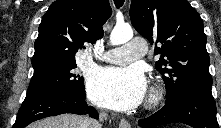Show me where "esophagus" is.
<instances>
[{
  "mask_svg": "<svg viewBox=\"0 0 221 128\" xmlns=\"http://www.w3.org/2000/svg\"><path fill=\"white\" fill-rule=\"evenodd\" d=\"M119 126L121 128H130L131 127V125L126 120H121Z\"/></svg>",
  "mask_w": 221,
  "mask_h": 128,
  "instance_id": "1",
  "label": "esophagus"
}]
</instances>
